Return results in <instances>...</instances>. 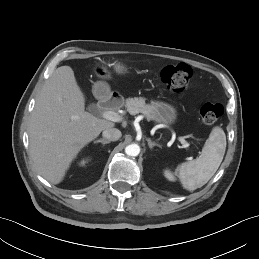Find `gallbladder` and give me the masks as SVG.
I'll return each instance as SVG.
<instances>
[{
  "instance_id": "gallbladder-1",
  "label": "gallbladder",
  "mask_w": 259,
  "mask_h": 259,
  "mask_svg": "<svg viewBox=\"0 0 259 259\" xmlns=\"http://www.w3.org/2000/svg\"><path fill=\"white\" fill-rule=\"evenodd\" d=\"M94 107H95V106H94V104L92 103V104L90 105L89 109H90V110H94Z\"/></svg>"
}]
</instances>
